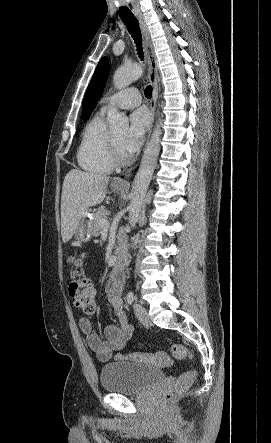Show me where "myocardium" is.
Segmentation results:
<instances>
[{
	"label": "myocardium",
	"instance_id": "obj_1",
	"mask_svg": "<svg viewBox=\"0 0 271 443\" xmlns=\"http://www.w3.org/2000/svg\"><path fill=\"white\" fill-rule=\"evenodd\" d=\"M110 142H111V147H112L115 161L118 163L124 162L127 159V156L122 152V150L118 146L117 142L114 139L113 134L110 137Z\"/></svg>",
	"mask_w": 271,
	"mask_h": 443
}]
</instances>
